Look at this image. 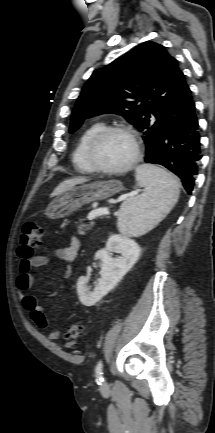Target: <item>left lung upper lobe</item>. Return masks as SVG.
I'll return each mask as SVG.
<instances>
[{
  "label": "left lung upper lobe",
  "instance_id": "5c2ea615",
  "mask_svg": "<svg viewBox=\"0 0 215 433\" xmlns=\"http://www.w3.org/2000/svg\"><path fill=\"white\" fill-rule=\"evenodd\" d=\"M184 81L176 59L162 45L148 41L93 72L75 104L69 132L88 117L120 114L143 131L151 156L168 106Z\"/></svg>",
  "mask_w": 215,
  "mask_h": 433
}]
</instances>
